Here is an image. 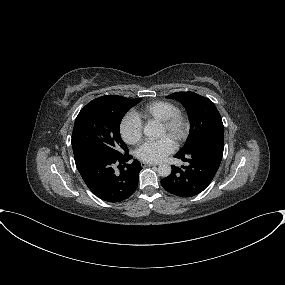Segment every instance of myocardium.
I'll list each match as a JSON object with an SVG mask.
<instances>
[{
    "label": "myocardium",
    "mask_w": 285,
    "mask_h": 285,
    "mask_svg": "<svg viewBox=\"0 0 285 285\" xmlns=\"http://www.w3.org/2000/svg\"><path fill=\"white\" fill-rule=\"evenodd\" d=\"M168 134L173 136V139L177 143H181L185 140L188 134L189 124L184 113L180 110L174 111L164 120L160 121Z\"/></svg>",
    "instance_id": "myocardium-1"
}]
</instances>
